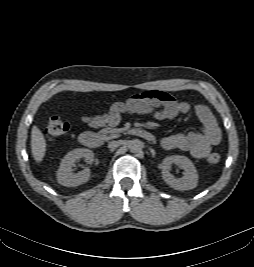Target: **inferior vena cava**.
<instances>
[{
	"instance_id": "inferior-vena-cava-1",
	"label": "inferior vena cava",
	"mask_w": 254,
	"mask_h": 267,
	"mask_svg": "<svg viewBox=\"0 0 254 267\" xmlns=\"http://www.w3.org/2000/svg\"><path fill=\"white\" fill-rule=\"evenodd\" d=\"M116 144H117L116 141H112V142H110V143L108 144V147H109V148H112V147L116 146Z\"/></svg>"
}]
</instances>
